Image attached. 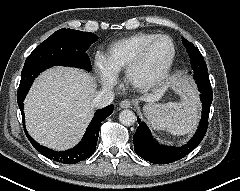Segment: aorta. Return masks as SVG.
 <instances>
[{"label":"aorta","instance_id":"1","mask_svg":"<svg viewBox=\"0 0 240 191\" xmlns=\"http://www.w3.org/2000/svg\"><path fill=\"white\" fill-rule=\"evenodd\" d=\"M119 121L125 126H131L136 121L135 113L131 110H123L119 114Z\"/></svg>","mask_w":240,"mask_h":191}]
</instances>
